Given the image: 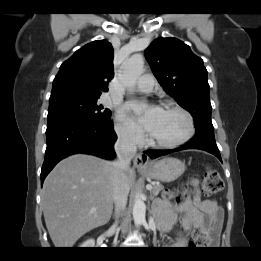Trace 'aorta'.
I'll return each mask as SVG.
<instances>
[{
  "instance_id": "1",
  "label": "aorta",
  "mask_w": 261,
  "mask_h": 261,
  "mask_svg": "<svg viewBox=\"0 0 261 261\" xmlns=\"http://www.w3.org/2000/svg\"><path fill=\"white\" fill-rule=\"evenodd\" d=\"M143 68L144 59L142 55H132L122 64V83L127 87H133L139 76L143 73ZM132 214L136 226H140L145 222L146 205L141 194L135 196Z\"/></svg>"
}]
</instances>
